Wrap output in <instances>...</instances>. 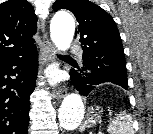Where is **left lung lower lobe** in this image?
<instances>
[{
	"label": "left lung lower lobe",
	"mask_w": 153,
	"mask_h": 134,
	"mask_svg": "<svg viewBox=\"0 0 153 134\" xmlns=\"http://www.w3.org/2000/svg\"><path fill=\"white\" fill-rule=\"evenodd\" d=\"M70 75L72 77L71 80L73 85L83 96H87L94 88H96V85L108 82L107 79L84 70L76 71L72 69ZM123 88L128 90V86H124Z\"/></svg>",
	"instance_id": "obj_1"
}]
</instances>
